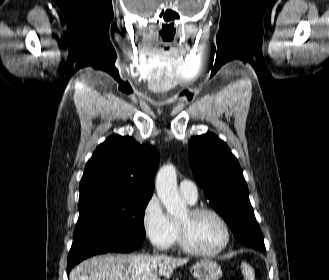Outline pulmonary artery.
Masks as SVG:
<instances>
[{
	"instance_id": "obj_1",
	"label": "pulmonary artery",
	"mask_w": 329,
	"mask_h": 280,
	"mask_svg": "<svg viewBox=\"0 0 329 280\" xmlns=\"http://www.w3.org/2000/svg\"><path fill=\"white\" fill-rule=\"evenodd\" d=\"M179 191L191 203H194L198 198L197 186L190 180H182L179 184Z\"/></svg>"
}]
</instances>
